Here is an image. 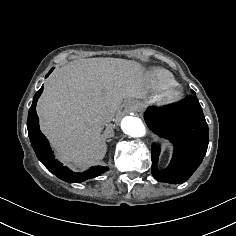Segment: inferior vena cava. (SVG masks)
Instances as JSON below:
<instances>
[{
  "label": "inferior vena cava",
  "instance_id": "1",
  "mask_svg": "<svg viewBox=\"0 0 236 236\" xmlns=\"http://www.w3.org/2000/svg\"><path fill=\"white\" fill-rule=\"evenodd\" d=\"M113 118H114V115H108V116H104L102 119L106 124V123L112 122Z\"/></svg>",
  "mask_w": 236,
  "mask_h": 236
}]
</instances>
